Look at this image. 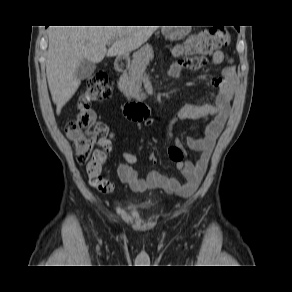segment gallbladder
Segmentation results:
<instances>
[{
    "label": "gallbladder",
    "mask_w": 292,
    "mask_h": 292,
    "mask_svg": "<svg viewBox=\"0 0 292 292\" xmlns=\"http://www.w3.org/2000/svg\"><path fill=\"white\" fill-rule=\"evenodd\" d=\"M96 69L95 63L83 60L76 69L75 75L78 79L83 80L93 74Z\"/></svg>",
    "instance_id": "1"
}]
</instances>
